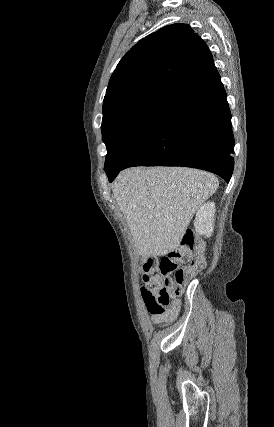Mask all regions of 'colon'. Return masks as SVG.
I'll return each mask as SVG.
<instances>
[{"label": "colon", "mask_w": 274, "mask_h": 427, "mask_svg": "<svg viewBox=\"0 0 274 427\" xmlns=\"http://www.w3.org/2000/svg\"><path fill=\"white\" fill-rule=\"evenodd\" d=\"M180 246L167 254L147 256L142 262L141 272L146 276L144 304L151 315H161L180 295L185 281L206 265L204 244L196 243L193 233L181 230ZM143 284L135 282L134 288L143 292Z\"/></svg>", "instance_id": "obj_1"}]
</instances>
